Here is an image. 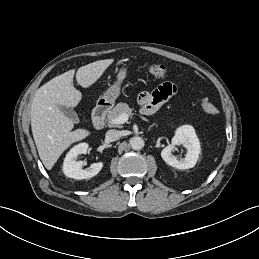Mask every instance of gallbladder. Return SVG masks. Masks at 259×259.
<instances>
[{
    "label": "gallbladder",
    "mask_w": 259,
    "mask_h": 259,
    "mask_svg": "<svg viewBox=\"0 0 259 259\" xmlns=\"http://www.w3.org/2000/svg\"><path fill=\"white\" fill-rule=\"evenodd\" d=\"M60 110L68 117L70 118L74 123L79 122L78 115L72 108L68 107H60Z\"/></svg>",
    "instance_id": "bac80fb5"
}]
</instances>
